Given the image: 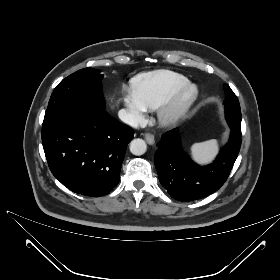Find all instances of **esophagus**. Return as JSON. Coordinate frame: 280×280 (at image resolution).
Segmentation results:
<instances>
[{
    "instance_id": "obj_1",
    "label": "esophagus",
    "mask_w": 280,
    "mask_h": 280,
    "mask_svg": "<svg viewBox=\"0 0 280 280\" xmlns=\"http://www.w3.org/2000/svg\"><path fill=\"white\" fill-rule=\"evenodd\" d=\"M144 137L148 144L153 145L155 143V138L152 134L146 133Z\"/></svg>"
}]
</instances>
